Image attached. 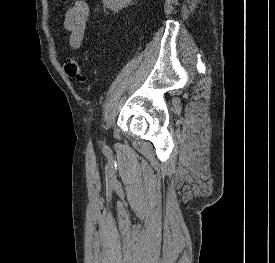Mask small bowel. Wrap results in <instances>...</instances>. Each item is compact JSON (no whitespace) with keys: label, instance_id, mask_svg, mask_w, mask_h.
Wrapping results in <instances>:
<instances>
[{"label":"small bowel","instance_id":"obj_1","mask_svg":"<svg viewBox=\"0 0 275 263\" xmlns=\"http://www.w3.org/2000/svg\"><path fill=\"white\" fill-rule=\"evenodd\" d=\"M89 17V5L85 0H75L64 15V27L70 33V45L79 49L84 40Z\"/></svg>","mask_w":275,"mask_h":263}]
</instances>
